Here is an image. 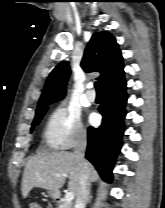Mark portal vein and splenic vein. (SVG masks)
Instances as JSON below:
<instances>
[{"label": "portal vein and splenic vein", "instance_id": "18ae733b", "mask_svg": "<svg viewBox=\"0 0 165 208\" xmlns=\"http://www.w3.org/2000/svg\"><path fill=\"white\" fill-rule=\"evenodd\" d=\"M56 177H59L60 175L59 174H56L55 175ZM74 199V194L72 192H67L65 194V201L68 202V203H71Z\"/></svg>", "mask_w": 165, "mask_h": 208}]
</instances>
